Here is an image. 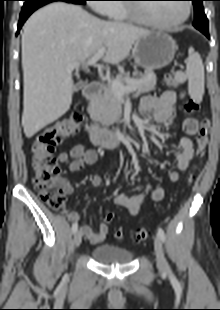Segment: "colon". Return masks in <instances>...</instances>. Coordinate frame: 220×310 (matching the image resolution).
Masks as SVG:
<instances>
[{"mask_svg":"<svg viewBox=\"0 0 220 310\" xmlns=\"http://www.w3.org/2000/svg\"><path fill=\"white\" fill-rule=\"evenodd\" d=\"M185 81L183 72L170 73L166 75L168 86L177 88ZM182 98L185 93H181ZM199 105L192 99H187L184 103V110L187 113L198 111ZM83 116L79 111H73L68 116L58 120L54 124L38 132L33 139L30 147L31 166L34 173L33 185L39 193L42 200L53 210L61 209L66 201L67 185L60 178V167L56 158L53 156L56 146L63 139L73 135L79 128ZM212 129V123L209 119H203L200 129L196 134V158L201 159L205 155L206 147L209 141V134ZM197 169L193 165L187 174V180L190 181ZM114 214L108 212L105 216L107 223L112 222ZM150 233L146 229H141L136 233L135 240L141 242L149 237ZM117 239L124 237L122 229L115 232Z\"/></svg>","mask_w":220,"mask_h":310,"instance_id":"colon-1","label":"colon"}]
</instances>
